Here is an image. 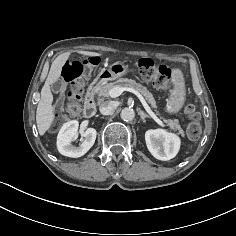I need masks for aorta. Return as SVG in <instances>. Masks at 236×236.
<instances>
[{
    "label": "aorta",
    "instance_id": "1",
    "mask_svg": "<svg viewBox=\"0 0 236 236\" xmlns=\"http://www.w3.org/2000/svg\"><path fill=\"white\" fill-rule=\"evenodd\" d=\"M121 118L124 121H132L135 117V112L132 108H124L120 113Z\"/></svg>",
    "mask_w": 236,
    "mask_h": 236
}]
</instances>
